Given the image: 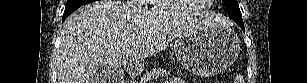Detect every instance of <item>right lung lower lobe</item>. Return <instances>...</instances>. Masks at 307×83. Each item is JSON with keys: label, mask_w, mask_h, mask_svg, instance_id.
I'll list each match as a JSON object with an SVG mask.
<instances>
[{"label": "right lung lower lobe", "mask_w": 307, "mask_h": 83, "mask_svg": "<svg viewBox=\"0 0 307 83\" xmlns=\"http://www.w3.org/2000/svg\"><path fill=\"white\" fill-rule=\"evenodd\" d=\"M85 5V4H79V5H72L68 9H65L63 13V21L73 12L75 11L78 7Z\"/></svg>", "instance_id": "right-lung-lower-lobe-1"}]
</instances>
